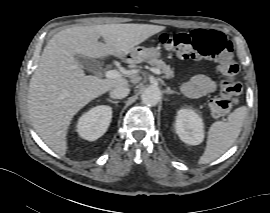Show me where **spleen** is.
<instances>
[{
	"instance_id": "3e777b00",
	"label": "spleen",
	"mask_w": 270,
	"mask_h": 213,
	"mask_svg": "<svg viewBox=\"0 0 270 213\" xmlns=\"http://www.w3.org/2000/svg\"><path fill=\"white\" fill-rule=\"evenodd\" d=\"M246 113V107H239L228 115L226 122L217 121L210 126L205 151L199 164L216 160L233 145L241 132Z\"/></svg>"
}]
</instances>
